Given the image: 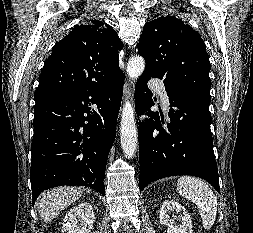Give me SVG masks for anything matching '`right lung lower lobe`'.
<instances>
[{"label":"right lung lower lobe","instance_id":"right-lung-lower-lobe-1","mask_svg":"<svg viewBox=\"0 0 253 233\" xmlns=\"http://www.w3.org/2000/svg\"><path fill=\"white\" fill-rule=\"evenodd\" d=\"M123 83L120 70L85 90L36 100L30 172L33 204L42 191L61 185L89 186L105 195V168L116 136Z\"/></svg>","mask_w":253,"mask_h":233}]
</instances>
